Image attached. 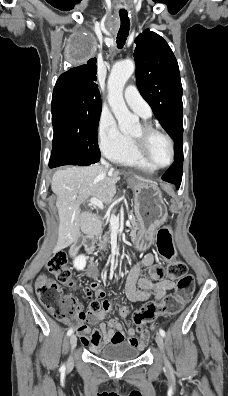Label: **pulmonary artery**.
<instances>
[{"label": "pulmonary artery", "mask_w": 228, "mask_h": 396, "mask_svg": "<svg viewBox=\"0 0 228 396\" xmlns=\"http://www.w3.org/2000/svg\"><path fill=\"white\" fill-rule=\"evenodd\" d=\"M124 98L131 109L144 118L152 114L150 105L142 97L135 85H128L124 90Z\"/></svg>", "instance_id": "e3ab8cb5"}]
</instances>
